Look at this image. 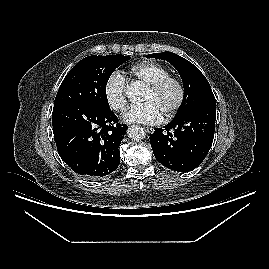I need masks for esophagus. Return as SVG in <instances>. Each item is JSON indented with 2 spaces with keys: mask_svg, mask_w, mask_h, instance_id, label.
Returning <instances> with one entry per match:
<instances>
[{
  "mask_svg": "<svg viewBox=\"0 0 269 269\" xmlns=\"http://www.w3.org/2000/svg\"><path fill=\"white\" fill-rule=\"evenodd\" d=\"M144 129L148 134H152L154 132V128L151 127H145Z\"/></svg>",
  "mask_w": 269,
  "mask_h": 269,
  "instance_id": "1",
  "label": "esophagus"
}]
</instances>
